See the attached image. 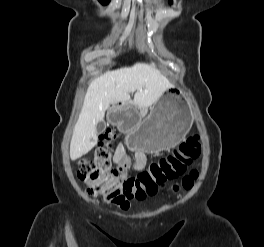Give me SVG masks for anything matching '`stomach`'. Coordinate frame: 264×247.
Listing matches in <instances>:
<instances>
[{
	"label": "stomach",
	"instance_id": "0dacf381",
	"mask_svg": "<svg viewBox=\"0 0 264 247\" xmlns=\"http://www.w3.org/2000/svg\"><path fill=\"white\" fill-rule=\"evenodd\" d=\"M182 95L179 86H170L146 117L122 104L109 109V120L127 132V144L134 150L154 153L169 149L181 140L191 120Z\"/></svg>",
	"mask_w": 264,
	"mask_h": 247
}]
</instances>
